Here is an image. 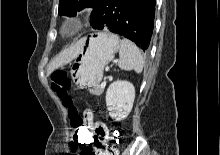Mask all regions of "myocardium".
Masks as SVG:
<instances>
[{"label":"myocardium","mask_w":220,"mask_h":155,"mask_svg":"<svg viewBox=\"0 0 220 155\" xmlns=\"http://www.w3.org/2000/svg\"><path fill=\"white\" fill-rule=\"evenodd\" d=\"M78 25L77 20H67L62 25V30H72Z\"/></svg>","instance_id":"obj_1"}]
</instances>
